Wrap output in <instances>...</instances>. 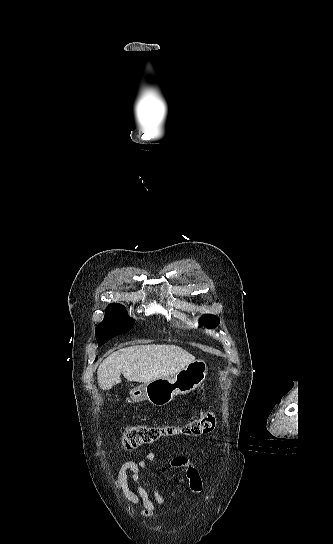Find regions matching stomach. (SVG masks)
Returning <instances> with one entry per match:
<instances>
[{
  "instance_id": "0dacf381",
  "label": "stomach",
  "mask_w": 333,
  "mask_h": 544,
  "mask_svg": "<svg viewBox=\"0 0 333 544\" xmlns=\"http://www.w3.org/2000/svg\"><path fill=\"white\" fill-rule=\"evenodd\" d=\"M207 371L205 361L194 360L172 377H161L133 388L130 397L134 402L147 400L155 406H164L177 394H187L200 386Z\"/></svg>"
}]
</instances>
